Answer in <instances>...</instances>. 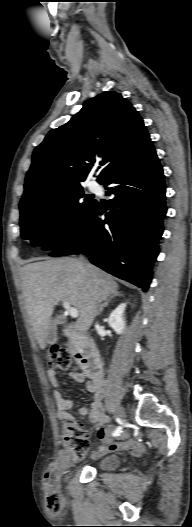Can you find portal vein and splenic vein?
I'll use <instances>...</instances> for the list:
<instances>
[{
  "label": "portal vein and splenic vein",
  "instance_id": "1",
  "mask_svg": "<svg viewBox=\"0 0 192 527\" xmlns=\"http://www.w3.org/2000/svg\"><path fill=\"white\" fill-rule=\"evenodd\" d=\"M63 307L65 309V313L70 315L71 317L77 318L79 316L77 309L74 307H71L68 301H63Z\"/></svg>",
  "mask_w": 192,
  "mask_h": 527
}]
</instances>
